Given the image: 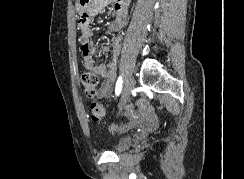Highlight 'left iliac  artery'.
<instances>
[{
  "instance_id": "left-iliac-artery-1",
  "label": "left iliac artery",
  "mask_w": 244,
  "mask_h": 179,
  "mask_svg": "<svg viewBox=\"0 0 244 179\" xmlns=\"http://www.w3.org/2000/svg\"><path fill=\"white\" fill-rule=\"evenodd\" d=\"M122 83H123V80H122V77L119 76L117 82H116V87H115V94L118 96L122 90Z\"/></svg>"
}]
</instances>
